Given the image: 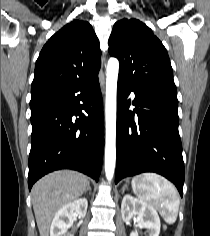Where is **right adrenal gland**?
I'll return each instance as SVG.
<instances>
[{"label": "right adrenal gland", "mask_w": 210, "mask_h": 236, "mask_svg": "<svg viewBox=\"0 0 210 236\" xmlns=\"http://www.w3.org/2000/svg\"><path fill=\"white\" fill-rule=\"evenodd\" d=\"M86 191H89V194L91 195V186H90L89 182H88L87 188L85 190V193H86Z\"/></svg>", "instance_id": "1"}]
</instances>
